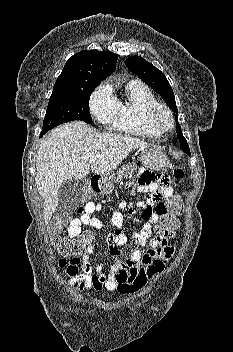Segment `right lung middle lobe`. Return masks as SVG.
Here are the masks:
<instances>
[{
    "instance_id": "obj_1",
    "label": "right lung middle lobe",
    "mask_w": 233,
    "mask_h": 352,
    "mask_svg": "<svg viewBox=\"0 0 233 352\" xmlns=\"http://www.w3.org/2000/svg\"><path fill=\"white\" fill-rule=\"evenodd\" d=\"M97 85H89L72 91H53L49 99L42 132L74 120L91 124L89 98Z\"/></svg>"
}]
</instances>
